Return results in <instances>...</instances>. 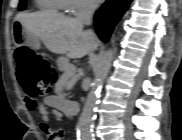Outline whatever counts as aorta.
Wrapping results in <instances>:
<instances>
[{"label":"aorta","instance_id":"762f6f07","mask_svg":"<svg viewBox=\"0 0 182 140\" xmlns=\"http://www.w3.org/2000/svg\"><path fill=\"white\" fill-rule=\"evenodd\" d=\"M113 54V50H107L99 62L97 73L91 84V90L87 95L77 127L81 140H91L93 137L92 127L95 109L99 101L102 84L111 68Z\"/></svg>","mask_w":182,"mask_h":140}]
</instances>
